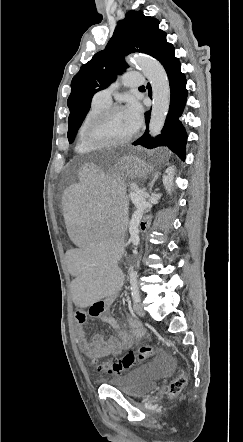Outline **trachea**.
<instances>
[{
  "mask_svg": "<svg viewBox=\"0 0 243 442\" xmlns=\"http://www.w3.org/2000/svg\"><path fill=\"white\" fill-rule=\"evenodd\" d=\"M139 88H144V86H140Z\"/></svg>",
  "mask_w": 243,
  "mask_h": 442,
  "instance_id": "3493384b",
  "label": "trachea"
}]
</instances>
